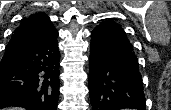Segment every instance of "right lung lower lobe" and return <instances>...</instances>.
I'll return each mask as SVG.
<instances>
[{
	"label": "right lung lower lobe",
	"mask_w": 171,
	"mask_h": 110,
	"mask_svg": "<svg viewBox=\"0 0 171 110\" xmlns=\"http://www.w3.org/2000/svg\"><path fill=\"white\" fill-rule=\"evenodd\" d=\"M58 32L18 54L13 64L0 68V109L56 110L59 99Z\"/></svg>",
	"instance_id": "1"
}]
</instances>
